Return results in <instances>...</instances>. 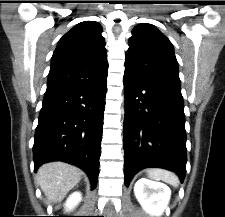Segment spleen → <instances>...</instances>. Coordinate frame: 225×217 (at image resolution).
I'll list each match as a JSON object with an SVG mask.
<instances>
[{"label":"spleen","instance_id":"1","mask_svg":"<svg viewBox=\"0 0 225 217\" xmlns=\"http://www.w3.org/2000/svg\"><path fill=\"white\" fill-rule=\"evenodd\" d=\"M147 174L149 176V178L153 179V180H162L168 184H171L172 186L177 187L179 184V179L178 177L165 169H161V168H151L147 170Z\"/></svg>","mask_w":225,"mask_h":217}]
</instances>
